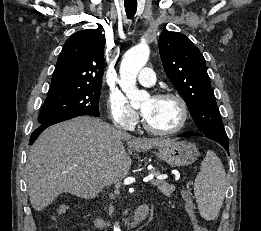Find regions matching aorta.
Here are the masks:
<instances>
[{
	"label": "aorta",
	"mask_w": 261,
	"mask_h": 231,
	"mask_svg": "<svg viewBox=\"0 0 261 231\" xmlns=\"http://www.w3.org/2000/svg\"><path fill=\"white\" fill-rule=\"evenodd\" d=\"M149 54V47L146 44H139L125 53L120 65L119 84L133 107L139 106L142 101L149 98L145 90H139L136 86L137 74L147 63ZM114 231H121V228L117 225Z\"/></svg>",
	"instance_id": "obj_1"
}]
</instances>
